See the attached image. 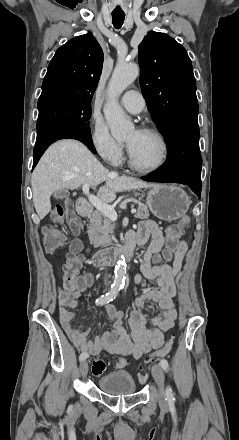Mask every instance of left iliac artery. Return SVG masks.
Wrapping results in <instances>:
<instances>
[{
    "label": "left iliac artery",
    "mask_w": 239,
    "mask_h": 440,
    "mask_svg": "<svg viewBox=\"0 0 239 440\" xmlns=\"http://www.w3.org/2000/svg\"><path fill=\"white\" fill-rule=\"evenodd\" d=\"M160 365H161V367L166 372H168L169 364H168V361L166 359H162L160 361ZM166 396H167V400H168L169 403H173L174 402L175 399H174V394H173V391H172L171 387H167V389H166Z\"/></svg>",
    "instance_id": "44dca946"
}]
</instances>
